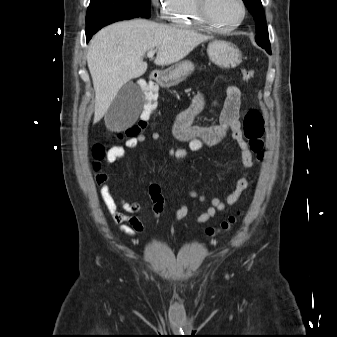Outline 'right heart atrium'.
I'll list each match as a JSON object with an SVG mask.
<instances>
[{
  "label": "right heart atrium",
  "instance_id": "d8ad5b80",
  "mask_svg": "<svg viewBox=\"0 0 337 337\" xmlns=\"http://www.w3.org/2000/svg\"><path fill=\"white\" fill-rule=\"evenodd\" d=\"M161 18L167 17L172 0H151Z\"/></svg>",
  "mask_w": 337,
  "mask_h": 337
}]
</instances>
